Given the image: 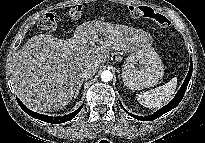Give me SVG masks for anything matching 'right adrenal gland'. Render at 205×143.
<instances>
[{"instance_id": "right-adrenal-gland-1", "label": "right adrenal gland", "mask_w": 205, "mask_h": 143, "mask_svg": "<svg viewBox=\"0 0 205 143\" xmlns=\"http://www.w3.org/2000/svg\"><path fill=\"white\" fill-rule=\"evenodd\" d=\"M85 81H86V79H82V80L80 81L79 86H78V88H77V91H76V93H75L74 98L77 97V95H78V93H79V90H80L82 84H83Z\"/></svg>"}]
</instances>
